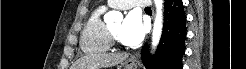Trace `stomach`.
I'll return each instance as SVG.
<instances>
[{"instance_id":"obj_1","label":"stomach","mask_w":246,"mask_h":69,"mask_svg":"<svg viewBox=\"0 0 246 69\" xmlns=\"http://www.w3.org/2000/svg\"><path fill=\"white\" fill-rule=\"evenodd\" d=\"M124 67H125L124 69H138L137 63L131 60L126 61Z\"/></svg>"}]
</instances>
